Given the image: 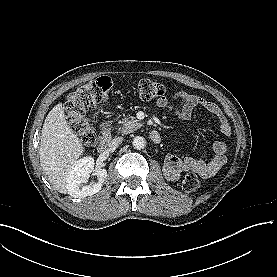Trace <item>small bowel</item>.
Wrapping results in <instances>:
<instances>
[{"mask_svg": "<svg viewBox=\"0 0 277 277\" xmlns=\"http://www.w3.org/2000/svg\"><path fill=\"white\" fill-rule=\"evenodd\" d=\"M157 105L160 108L172 112L178 119L182 121L189 120L191 118L193 108L199 106L214 114L219 119V128L221 133H230V126L225 120L220 108L216 104L198 96L180 91L174 95L172 100H168L167 98L158 99ZM225 153L226 144L222 141H216L213 144L214 157L209 162L193 157H185L184 159H180L174 155H168L165 158V166L168 172L173 170L191 171L202 177H206L211 174L215 167L225 163Z\"/></svg>", "mask_w": 277, "mask_h": 277, "instance_id": "1", "label": "small bowel"}]
</instances>
